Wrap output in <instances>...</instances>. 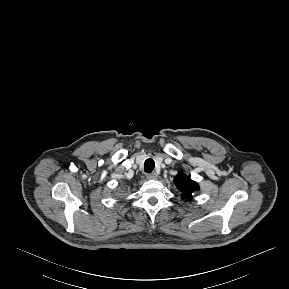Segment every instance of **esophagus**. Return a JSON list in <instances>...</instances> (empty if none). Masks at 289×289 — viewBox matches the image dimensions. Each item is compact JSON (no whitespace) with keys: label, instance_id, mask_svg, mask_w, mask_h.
Returning <instances> with one entry per match:
<instances>
[{"label":"esophagus","instance_id":"esophagus-1","mask_svg":"<svg viewBox=\"0 0 289 289\" xmlns=\"http://www.w3.org/2000/svg\"><path fill=\"white\" fill-rule=\"evenodd\" d=\"M146 177H147L148 180H154V179L157 178L155 173H149V174H147Z\"/></svg>","mask_w":289,"mask_h":289}]
</instances>
